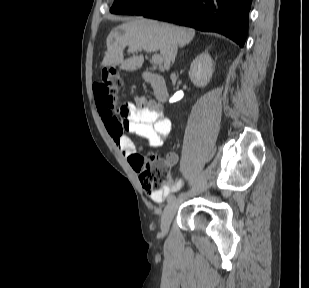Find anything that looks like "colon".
<instances>
[{"label": "colon", "instance_id": "1", "mask_svg": "<svg viewBox=\"0 0 309 288\" xmlns=\"http://www.w3.org/2000/svg\"><path fill=\"white\" fill-rule=\"evenodd\" d=\"M122 86V80L114 68L102 69L100 80L94 84L96 102L103 118H110L118 124H125L129 116L127 104L117 106L115 98ZM137 164L139 180L142 188L149 194H158L169 186L171 173L170 165L163 162L155 154L143 157L138 154L132 156Z\"/></svg>", "mask_w": 309, "mask_h": 288}]
</instances>
